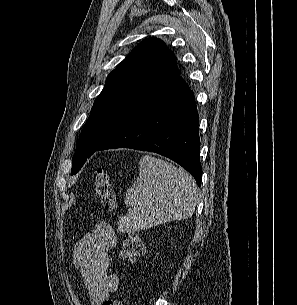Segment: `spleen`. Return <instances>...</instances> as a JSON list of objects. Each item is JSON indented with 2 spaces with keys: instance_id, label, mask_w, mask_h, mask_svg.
<instances>
[{
  "instance_id": "spleen-1",
  "label": "spleen",
  "mask_w": 297,
  "mask_h": 305,
  "mask_svg": "<svg viewBox=\"0 0 297 305\" xmlns=\"http://www.w3.org/2000/svg\"><path fill=\"white\" fill-rule=\"evenodd\" d=\"M197 186L182 168L164 160L142 156L139 176L127 190L124 203L129 207L120 216V232H136L172 220L192 216L197 204Z\"/></svg>"
}]
</instances>
